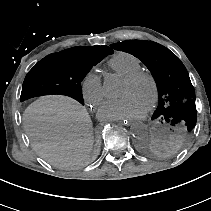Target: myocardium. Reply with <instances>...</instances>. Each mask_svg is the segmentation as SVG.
<instances>
[{"instance_id":"myocardium-1","label":"myocardium","mask_w":211,"mask_h":211,"mask_svg":"<svg viewBox=\"0 0 211 211\" xmlns=\"http://www.w3.org/2000/svg\"><path fill=\"white\" fill-rule=\"evenodd\" d=\"M143 79L147 80L150 83L151 88H152L151 101L148 104V106L145 108L147 112H150L156 108L159 101V86L154 75L148 71L141 69L125 77L124 81L130 84H136Z\"/></svg>"}]
</instances>
